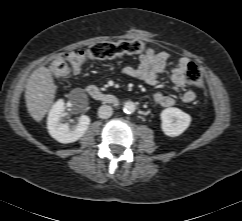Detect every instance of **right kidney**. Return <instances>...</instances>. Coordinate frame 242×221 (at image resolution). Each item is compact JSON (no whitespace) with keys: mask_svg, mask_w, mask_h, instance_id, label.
<instances>
[{"mask_svg":"<svg viewBox=\"0 0 242 221\" xmlns=\"http://www.w3.org/2000/svg\"><path fill=\"white\" fill-rule=\"evenodd\" d=\"M72 107H76V102L70 103ZM65 103L62 99L58 100L51 108L48 120L47 128L49 134L58 142L67 144L79 140L87 131L90 118L86 115H82L79 118V122L76 126H70L69 123H62V117L65 115Z\"/></svg>","mask_w":242,"mask_h":221,"instance_id":"ca27d5eb","label":"right kidney"}]
</instances>
